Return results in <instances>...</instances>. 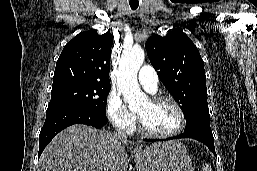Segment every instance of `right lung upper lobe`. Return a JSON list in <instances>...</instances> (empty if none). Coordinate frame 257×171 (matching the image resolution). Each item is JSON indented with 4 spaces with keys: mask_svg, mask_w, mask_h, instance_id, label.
Instances as JSON below:
<instances>
[{
    "mask_svg": "<svg viewBox=\"0 0 257 171\" xmlns=\"http://www.w3.org/2000/svg\"><path fill=\"white\" fill-rule=\"evenodd\" d=\"M113 37L96 30L81 32L68 42L56 63L52 89L76 83L110 84Z\"/></svg>",
    "mask_w": 257,
    "mask_h": 171,
    "instance_id": "1",
    "label": "right lung upper lobe"
}]
</instances>
